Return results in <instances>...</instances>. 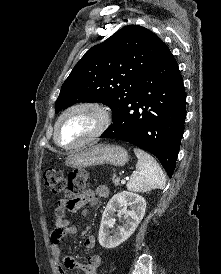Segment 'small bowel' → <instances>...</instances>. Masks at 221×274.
Wrapping results in <instances>:
<instances>
[{
    "instance_id": "c3829d8e",
    "label": "small bowel",
    "mask_w": 221,
    "mask_h": 274,
    "mask_svg": "<svg viewBox=\"0 0 221 274\" xmlns=\"http://www.w3.org/2000/svg\"><path fill=\"white\" fill-rule=\"evenodd\" d=\"M109 190L106 186H99L95 191L89 190L73 200H60L54 210V230L51 234V248L57 263L59 274H67V269H80L85 274H99L101 257L98 254L90 255L85 263H80L70 256H63L61 244L63 239L76 234V226L67 218L66 214L76 213L86 205H96L100 199L106 198ZM96 239L88 236L84 241V248L94 249Z\"/></svg>"
}]
</instances>
